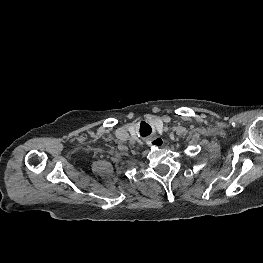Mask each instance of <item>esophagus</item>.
<instances>
[{"label": "esophagus", "instance_id": "34e87169", "mask_svg": "<svg viewBox=\"0 0 263 263\" xmlns=\"http://www.w3.org/2000/svg\"><path fill=\"white\" fill-rule=\"evenodd\" d=\"M164 143V140L160 137H155V138H151L147 141V144L149 146H157V147H161Z\"/></svg>", "mask_w": 263, "mask_h": 263}]
</instances>
